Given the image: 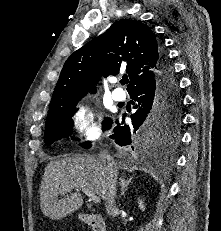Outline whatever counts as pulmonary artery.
I'll return each instance as SVG.
<instances>
[{"mask_svg": "<svg viewBox=\"0 0 221 231\" xmlns=\"http://www.w3.org/2000/svg\"><path fill=\"white\" fill-rule=\"evenodd\" d=\"M112 98L115 101H124L126 98V94L122 89L116 88L112 91Z\"/></svg>", "mask_w": 221, "mask_h": 231, "instance_id": "pulmonary-artery-1", "label": "pulmonary artery"}]
</instances>
